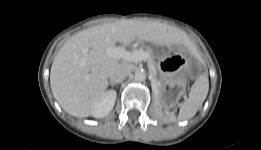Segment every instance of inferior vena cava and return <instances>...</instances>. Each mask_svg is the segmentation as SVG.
I'll use <instances>...</instances> for the list:
<instances>
[{
    "label": "inferior vena cava",
    "instance_id": "602c4592",
    "mask_svg": "<svg viewBox=\"0 0 261 150\" xmlns=\"http://www.w3.org/2000/svg\"><path fill=\"white\" fill-rule=\"evenodd\" d=\"M129 74V68L124 63H119L113 66L108 73L111 82L119 83L122 82Z\"/></svg>",
    "mask_w": 261,
    "mask_h": 150
}]
</instances>
